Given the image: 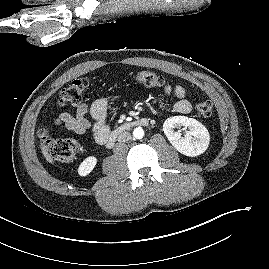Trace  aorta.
Listing matches in <instances>:
<instances>
[{
    "instance_id": "aorta-1",
    "label": "aorta",
    "mask_w": 269,
    "mask_h": 269,
    "mask_svg": "<svg viewBox=\"0 0 269 269\" xmlns=\"http://www.w3.org/2000/svg\"><path fill=\"white\" fill-rule=\"evenodd\" d=\"M133 136H134V138H136V139H142L143 136H144V130H143L142 128H140V127L135 128V129L133 130Z\"/></svg>"
}]
</instances>
